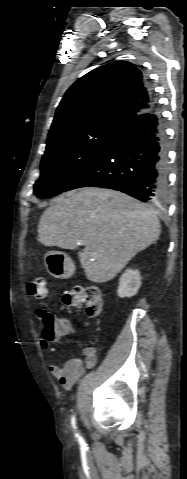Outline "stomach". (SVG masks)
Instances as JSON below:
<instances>
[{
    "label": "stomach",
    "mask_w": 187,
    "mask_h": 479,
    "mask_svg": "<svg viewBox=\"0 0 187 479\" xmlns=\"http://www.w3.org/2000/svg\"><path fill=\"white\" fill-rule=\"evenodd\" d=\"M47 271L55 278L66 279L72 276L74 264L70 257L60 251H49L44 256Z\"/></svg>",
    "instance_id": "0dacf381"
}]
</instances>
